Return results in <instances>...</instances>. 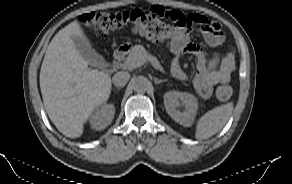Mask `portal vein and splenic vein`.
I'll use <instances>...</instances> for the list:
<instances>
[{"mask_svg":"<svg viewBox=\"0 0 292 184\" xmlns=\"http://www.w3.org/2000/svg\"><path fill=\"white\" fill-rule=\"evenodd\" d=\"M146 61H149L154 66L155 69L162 71V69H163L162 66L160 65L157 58L153 57V56L145 57L142 60H140L138 63L125 62L124 65L127 67L136 68V67L142 66Z\"/></svg>","mask_w":292,"mask_h":184,"instance_id":"portal-vein-and-splenic-vein-1","label":"portal vein and splenic vein"}]
</instances>
